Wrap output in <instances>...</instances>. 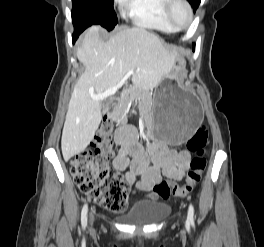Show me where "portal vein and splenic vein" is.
Returning <instances> with one entry per match:
<instances>
[{"mask_svg":"<svg viewBox=\"0 0 264 247\" xmlns=\"http://www.w3.org/2000/svg\"><path fill=\"white\" fill-rule=\"evenodd\" d=\"M133 72L128 73L118 84L114 85L113 87H110L108 89H106L103 93L100 94H92L91 95V99L92 100H103L106 99L107 97L113 95L116 93V91L122 86V84L124 83L125 79L130 76L133 75Z\"/></svg>","mask_w":264,"mask_h":247,"instance_id":"18ae733b","label":"portal vein and splenic vein"}]
</instances>
